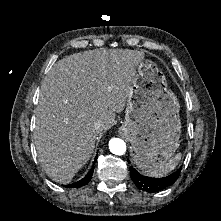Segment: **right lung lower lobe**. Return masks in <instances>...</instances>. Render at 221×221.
Listing matches in <instances>:
<instances>
[{"label": "right lung lower lobe", "mask_w": 221, "mask_h": 221, "mask_svg": "<svg viewBox=\"0 0 221 221\" xmlns=\"http://www.w3.org/2000/svg\"><path fill=\"white\" fill-rule=\"evenodd\" d=\"M93 172H94V168H92L88 174L83 178L81 179L80 181L78 182H75L73 184H69V185H64L65 187H68V188H78V187H82L84 185H86L92 178V175H93Z\"/></svg>", "instance_id": "right-lung-lower-lobe-1"}]
</instances>
